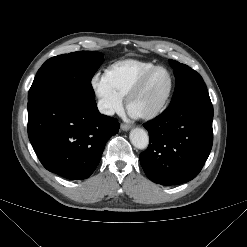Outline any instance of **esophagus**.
<instances>
[{"mask_svg":"<svg viewBox=\"0 0 247 247\" xmlns=\"http://www.w3.org/2000/svg\"><path fill=\"white\" fill-rule=\"evenodd\" d=\"M131 128L129 124H121V130L128 131Z\"/></svg>","mask_w":247,"mask_h":247,"instance_id":"esophagus-1","label":"esophagus"}]
</instances>
